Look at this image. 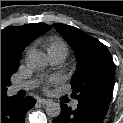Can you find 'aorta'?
Masks as SVG:
<instances>
[{"mask_svg":"<svg viewBox=\"0 0 123 123\" xmlns=\"http://www.w3.org/2000/svg\"><path fill=\"white\" fill-rule=\"evenodd\" d=\"M27 63L36 69H42L48 64V57L44 52L31 51L27 55ZM46 114L49 117L56 118L61 112L60 104L57 102H50L45 107Z\"/></svg>","mask_w":123,"mask_h":123,"instance_id":"762f6f07","label":"aorta"}]
</instances>
